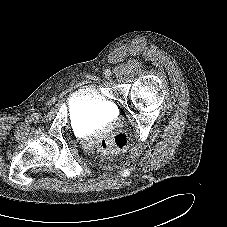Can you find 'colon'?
<instances>
[{
  "instance_id": "5ec220e1",
  "label": "colon",
  "mask_w": 227,
  "mask_h": 227,
  "mask_svg": "<svg viewBox=\"0 0 227 227\" xmlns=\"http://www.w3.org/2000/svg\"><path fill=\"white\" fill-rule=\"evenodd\" d=\"M128 144V137L125 134L107 135L98 142V148L105 153L118 152Z\"/></svg>"
}]
</instances>
